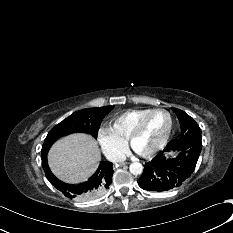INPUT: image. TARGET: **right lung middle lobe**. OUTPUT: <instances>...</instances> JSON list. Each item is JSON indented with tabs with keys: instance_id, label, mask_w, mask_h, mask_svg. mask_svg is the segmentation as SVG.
Segmentation results:
<instances>
[{
	"instance_id": "1",
	"label": "right lung middle lobe",
	"mask_w": 233,
	"mask_h": 233,
	"mask_svg": "<svg viewBox=\"0 0 233 233\" xmlns=\"http://www.w3.org/2000/svg\"><path fill=\"white\" fill-rule=\"evenodd\" d=\"M113 108L114 106L88 108L73 113L49 131L41 153L47 154L52 144L67 134L83 132L96 138L104 116L113 110Z\"/></svg>"
}]
</instances>
